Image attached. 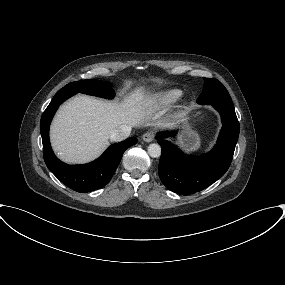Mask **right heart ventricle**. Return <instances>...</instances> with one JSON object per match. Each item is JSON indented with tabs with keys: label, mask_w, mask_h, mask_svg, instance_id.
<instances>
[{
	"label": "right heart ventricle",
	"mask_w": 285,
	"mask_h": 285,
	"mask_svg": "<svg viewBox=\"0 0 285 285\" xmlns=\"http://www.w3.org/2000/svg\"><path fill=\"white\" fill-rule=\"evenodd\" d=\"M182 96V91L177 89L163 91L157 94L153 101L158 106H168L179 100Z\"/></svg>",
	"instance_id": "right-heart-ventricle-1"
}]
</instances>
